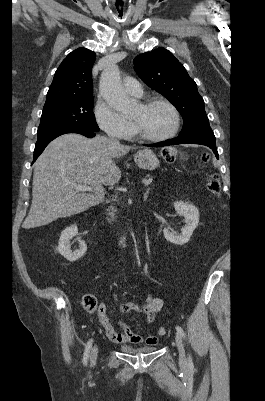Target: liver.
<instances>
[{
    "label": "liver",
    "instance_id": "obj_1",
    "mask_svg": "<svg viewBox=\"0 0 265 401\" xmlns=\"http://www.w3.org/2000/svg\"><path fill=\"white\" fill-rule=\"evenodd\" d=\"M130 148L99 134L94 138L62 134L52 140L35 162L32 205L23 229L49 225L101 203L102 184L111 186L121 178L113 158L123 156ZM74 184L91 186L93 192H79Z\"/></svg>",
    "mask_w": 265,
    "mask_h": 401
}]
</instances>
